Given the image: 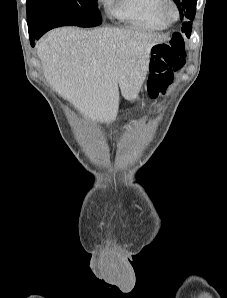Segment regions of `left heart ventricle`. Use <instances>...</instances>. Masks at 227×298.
Instances as JSON below:
<instances>
[{"label": "left heart ventricle", "instance_id": "1", "mask_svg": "<svg viewBox=\"0 0 227 298\" xmlns=\"http://www.w3.org/2000/svg\"><path fill=\"white\" fill-rule=\"evenodd\" d=\"M169 12L171 13L172 12V10L169 8Z\"/></svg>", "mask_w": 227, "mask_h": 298}]
</instances>
